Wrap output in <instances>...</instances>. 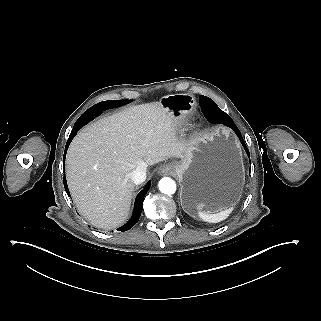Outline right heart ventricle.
I'll return each instance as SVG.
<instances>
[{"label":"right heart ventricle","mask_w":321,"mask_h":321,"mask_svg":"<svg viewBox=\"0 0 321 321\" xmlns=\"http://www.w3.org/2000/svg\"><path fill=\"white\" fill-rule=\"evenodd\" d=\"M189 121V116L186 114H178L173 116L171 124L175 127H182Z\"/></svg>","instance_id":"e07e8e85"}]
</instances>
